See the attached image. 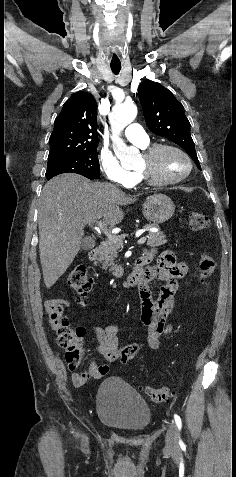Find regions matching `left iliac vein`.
<instances>
[{"label": "left iliac vein", "instance_id": "obj_1", "mask_svg": "<svg viewBox=\"0 0 236 477\" xmlns=\"http://www.w3.org/2000/svg\"><path fill=\"white\" fill-rule=\"evenodd\" d=\"M166 446L170 450L178 447V430L175 424L170 425L166 433Z\"/></svg>", "mask_w": 236, "mask_h": 477}]
</instances>
